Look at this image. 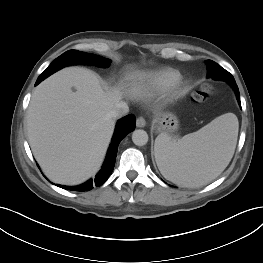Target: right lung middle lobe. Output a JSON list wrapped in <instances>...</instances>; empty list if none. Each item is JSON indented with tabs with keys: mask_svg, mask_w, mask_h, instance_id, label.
<instances>
[{
	"mask_svg": "<svg viewBox=\"0 0 263 263\" xmlns=\"http://www.w3.org/2000/svg\"><path fill=\"white\" fill-rule=\"evenodd\" d=\"M110 62L111 60L102 58L94 54L80 52L78 50H70L63 53L61 56L55 59L47 69L48 70L56 69L57 71L66 65L77 64V63L105 68L110 65Z\"/></svg>",
	"mask_w": 263,
	"mask_h": 263,
	"instance_id": "obj_1",
	"label": "right lung middle lobe"
}]
</instances>
